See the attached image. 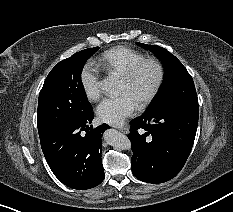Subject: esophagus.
Returning <instances> with one entry per match:
<instances>
[{
  "instance_id": "obj_1",
  "label": "esophagus",
  "mask_w": 233,
  "mask_h": 212,
  "mask_svg": "<svg viewBox=\"0 0 233 212\" xmlns=\"http://www.w3.org/2000/svg\"><path fill=\"white\" fill-rule=\"evenodd\" d=\"M119 131H121L122 133H128L129 129L126 126H121L118 127Z\"/></svg>"
}]
</instances>
